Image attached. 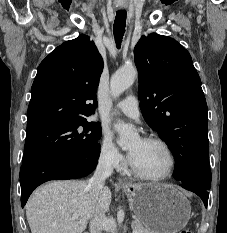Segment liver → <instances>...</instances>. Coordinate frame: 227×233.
Wrapping results in <instances>:
<instances>
[{"label":"liver","instance_id":"6515ba94","mask_svg":"<svg viewBox=\"0 0 227 233\" xmlns=\"http://www.w3.org/2000/svg\"><path fill=\"white\" fill-rule=\"evenodd\" d=\"M86 181H53L38 188L26 204L31 233H82L90 218L105 215L111 191L93 197ZM74 214L77 219H72Z\"/></svg>","mask_w":227,"mask_h":233}]
</instances>
